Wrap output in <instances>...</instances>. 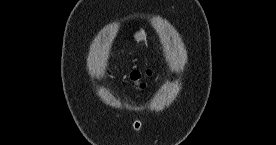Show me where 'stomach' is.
Here are the masks:
<instances>
[{"label":"stomach","mask_w":276,"mask_h":145,"mask_svg":"<svg viewBox=\"0 0 276 145\" xmlns=\"http://www.w3.org/2000/svg\"><path fill=\"white\" fill-rule=\"evenodd\" d=\"M134 38L137 40V41H146V33L143 29L137 31L135 34H134Z\"/></svg>","instance_id":"1"}]
</instances>
